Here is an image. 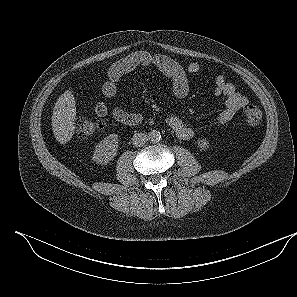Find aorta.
Here are the masks:
<instances>
[{
	"label": "aorta",
	"mask_w": 297,
	"mask_h": 297,
	"mask_svg": "<svg viewBox=\"0 0 297 297\" xmlns=\"http://www.w3.org/2000/svg\"><path fill=\"white\" fill-rule=\"evenodd\" d=\"M148 140L152 143H157L161 140V133L158 130H151L148 133Z\"/></svg>",
	"instance_id": "aorta-1"
}]
</instances>
